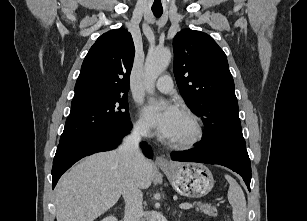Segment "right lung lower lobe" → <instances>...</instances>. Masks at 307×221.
Listing matches in <instances>:
<instances>
[{"instance_id":"1","label":"right lung lower lobe","mask_w":307,"mask_h":221,"mask_svg":"<svg viewBox=\"0 0 307 221\" xmlns=\"http://www.w3.org/2000/svg\"><path fill=\"white\" fill-rule=\"evenodd\" d=\"M131 122L110 127L60 142L53 160L52 188L61 175L81 158L96 152L114 149L121 137L128 134ZM144 154L152 158L151 148L145 142L141 144Z\"/></svg>"}]
</instances>
